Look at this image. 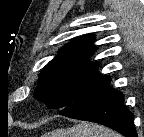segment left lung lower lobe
<instances>
[{"instance_id":"0a47b994","label":"left lung lower lobe","mask_w":144,"mask_h":137,"mask_svg":"<svg viewBox=\"0 0 144 137\" xmlns=\"http://www.w3.org/2000/svg\"><path fill=\"white\" fill-rule=\"evenodd\" d=\"M108 77L60 111V115L107 126L126 137H138L124 96L110 86Z\"/></svg>"}]
</instances>
